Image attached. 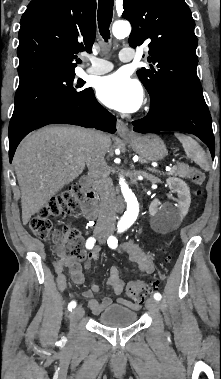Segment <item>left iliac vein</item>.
<instances>
[{"label": "left iliac vein", "instance_id": "left-iliac-vein-1", "mask_svg": "<svg viewBox=\"0 0 221 379\" xmlns=\"http://www.w3.org/2000/svg\"><path fill=\"white\" fill-rule=\"evenodd\" d=\"M103 242V241H101ZM146 308L153 312V313H157L158 310H159V302L158 300L154 299V298H149L147 299L146 301Z\"/></svg>", "mask_w": 221, "mask_h": 379}]
</instances>
